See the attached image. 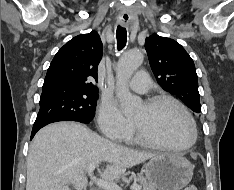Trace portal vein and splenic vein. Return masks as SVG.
<instances>
[{
    "label": "portal vein and splenic vein",
    "mask_w": 234,
    "mask_h": 190,
    "mask_svg": "<svg viewBox=\"0 0 234 190\" xmlns=\"http://www.w3.org/2000/svg\"><path fill=\"white\" fill-rule=\"evenodd\" d=\"M95 168H96V164L92 163L88 166L87 172H88V175L90 176V178L95 181V183L98 187H100L104 190H122V188L119 187L115 183H112V182L104 180V179H97L93 175V171ZM130 189L131 190H141V187L138 184L134 183L133 185H131Z\"/></svg>",
    "instance_id": "portal-vein-and-splenic-vein-1"
}]
</instances>
